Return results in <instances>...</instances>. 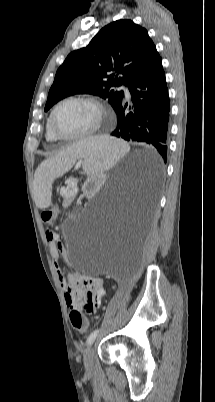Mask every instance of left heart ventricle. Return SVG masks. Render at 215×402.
Segmentation results:
<instances>
[{
  "instance_id": "left-heart-ventricle-1",
  "label": "left heart ventricle",
  "mask_w": 215,
  "mask_h": 402,
  "mask_svg": "<svg viewBox=\"0 0 215 402\" xmlns=\"http://www.w3.org/2000/svg\"><path fill=\"white\" fill-rule=\"evenodd\" d=\"M97 120L95 107L86 102L63 104L56 112L54 125L64 135H77L91 129Z\"/></svg>"
}]
</instances>
